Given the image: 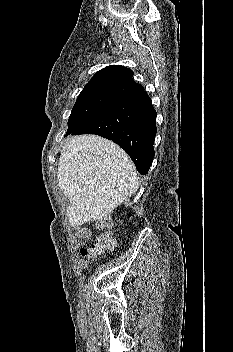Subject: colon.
Returning a JSON list of instances; mask_svg holds the SVG:
<instances>
[{"instance_id":"1","label":"colon","mask_w":233,"mask_h":352,"mask_svg":"<svg viewBox=\"0 0 233 352\" xmlns=\"http://www.w3.org/2000/svg\"><path fill=\"white\" fill-rule=\"evenodd\" d=\"M99 227L103 230L102 233L95 239L90 247L83 248L81 250V256L86 258H95L101 256L114 248L115 242L112 238L111 233L107 229L106 224H99ZM78 235L82 239L89 237V230L81 228L78 230Z\"/></svg>"}]
</instances>
